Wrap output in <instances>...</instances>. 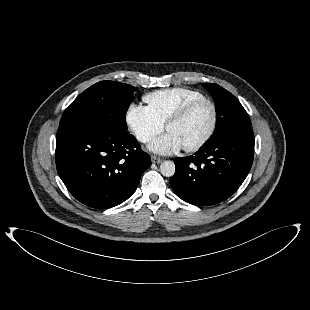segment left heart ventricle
<instances>
[{"instance_id":"1","label":"left heart ventricle","mask_w":310,"mask_h":310,"mask_svg":"<svg viewBox=\"0 0 310 310\" xmlns=\"http://www.w3.org/2000/svg\"><path fill=\"white\" fill-rule=\"evenodd\" d=\"M211 122V109L208 104L196 107L184 120L168 128L181 141L183 147L199 142L206 134Z\"/></svg>"}]
</instances>
